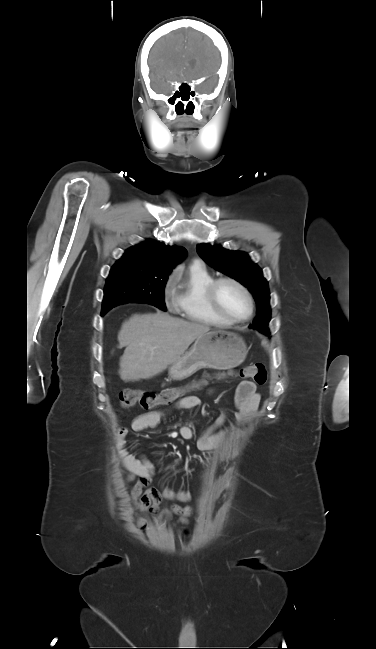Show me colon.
Here are the masks:
<instances>
[{
    "label": "colon",
    "instance_id": "colon-1",
    "mask_svg": "<svg viewBox=\"0 0 376 649\" xmlns=\"http://www.w3.org/2000/svg\"><path fill=\"white\" fill-rule=\"evenodd\" d=\"M240 376L252 379L258 385H264L267 380V370L262 363H254L240 370ZM209 379L203 378L188 387H171L158 392L142 391L138 389H124L119 393V404L123 408L139 404L143 408H153L168 405L177 400L189 390L205 386Z\"/></svg>",
    "mask_w": 376,
    "mask_h": 649
}]
</instances>
